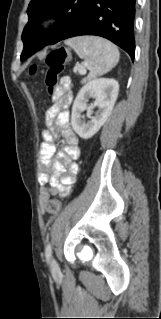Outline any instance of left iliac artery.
<instances>
[{
	"instance_id": "1",
	"label": "left iliac artery",
	"mask_w": 161,
	"mask_h": 319,
	"mask_svg": "<svg viewBox=\"0 0 161 319\" xmlns=\"http://www.w3.org/2000/svg\"><path fill=\"white\" fill-rule=\"evenodd\" d=\"M51 253H52L51 244H48L46 247V250H45V255H46L47 261H49V259L51 257Z\"/></svg>"
}]
</instances>
